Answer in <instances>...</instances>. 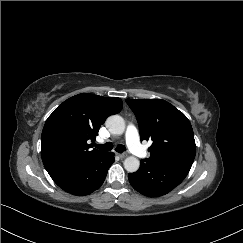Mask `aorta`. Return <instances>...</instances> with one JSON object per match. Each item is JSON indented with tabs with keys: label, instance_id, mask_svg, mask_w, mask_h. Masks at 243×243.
Returning a JSON list of instances; mask_svg holds the SVG:
<instances>
[{
	"label": "aorta",
	"instance_id": "obj_1",
	"mask_svg": "<svg viewBox=\"0 0 243 243\" xmlns=\"http://www.w3.org/2000/svg\"><path fill=\"white\" fill-rule=\"evenodd\" d=\"M105 125L108 130L115 135H121L125 130V121L119 115H112L108 117ZM123 164L124 168L130 173L136 172L140 167L139 160L134 156L127 157Z\"/></svg>",
	"mask_w": 243,
	"mask_h": 243
}]
</instances>
